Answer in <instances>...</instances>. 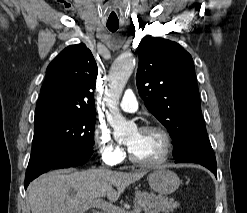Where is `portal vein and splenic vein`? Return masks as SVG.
Instances as JSON below:
<instances>
[{
	"label": "portal vein and splenic vein",
	"mask_w": 247,
	"mask_h": 213,
	"mask_svg": "<svg viewBox=\"0 0 247 213\" xmlns=\"http://www.w3.org/2000/svg\"><path fill=\"white\" fill-rule=\"evenodd\" d=\"M92 207L101 209L103 211H106L107 213H128V211H126L125 209L114 206L113 204L108 203L102 199L93 200L84 204V208H92ZM140 210L141 209L138 208L134 210L133 213H139Z\"/></svg>",
	"instance_id": "1"
}]
</instances>
